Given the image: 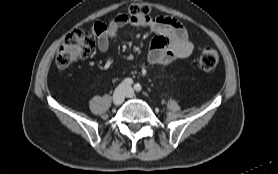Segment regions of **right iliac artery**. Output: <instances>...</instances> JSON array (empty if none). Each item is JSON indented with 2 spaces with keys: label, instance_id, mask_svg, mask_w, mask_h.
Listing matches in <instances>:
<instances>
[{
  "label": "right iliac artery",
  "instance_id": "82829eb1",
  "mask_svg": "<svg viewBox=\"0 0 278 174\" xmlns=\"http://www.w3.org/2000/svg\"><path fill=\"white\" fill-rule=\"evenodd\" d=\"M133 84V80L131 78H125L123 81H122V85H127V86H130Z\"/></svg>",
  "mask_w": 278,
  "mask_h": 174
}]
</instances>
